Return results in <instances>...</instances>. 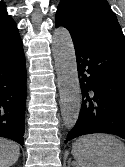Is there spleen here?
I'll return each mask as SVG.
<instances>
[{"label":"spleen","mask_w":125,"mask_h":167,"mask_svg":"<svg viewBox=\"0 0 125 167\" xmlns=\"http://www.w3.org/2000/svg\"><path fill=\"white\" fill-rule=\"evenodd\" d=\"M71 152L79 167H125V145L111 135L81 136Z\"/></svg>","instance_id":"1"}]
</instances>
